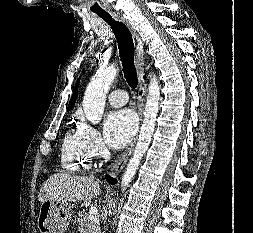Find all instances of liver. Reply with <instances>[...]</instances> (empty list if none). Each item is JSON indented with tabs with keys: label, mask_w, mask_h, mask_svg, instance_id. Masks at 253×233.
<instances>
[{
	"label": "liver",
	"mask_w": 253,
	"mask_h": 233,
	"mask_svg": "<svg viewBox=\"0 0 253 233\" xmlns=\"http://www.w3.org/2000/svg\"><path fill=\"white\" fill-rule=\"evenodd\" d=\"M99 192V182L92 176L53 174L41 187L38 200L79 202L95 198Z\"/></svg>",
	"instance_id": "obj_1"
}]
</instances>
